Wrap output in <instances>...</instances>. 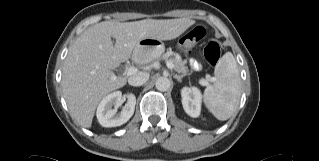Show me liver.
<instances>
[{
    "label": "liver",
    "mask_w": 319,
    "mask_h": 161,
    "mask_svg": "<svg viewBox=\"0 0 319 161\" xmlns=\"http://www.w3.org/2000/svg\"><path fill=\"white\" fill-rule=\"evenodd\" d=\"M194 23L187 18L104 21L85 30L70 46L63 67L62 90L72 117L90 128L101 99L126 84L112 70L132 56L136 45L144 38L175 39Z\"/></svg>",
    "instance_id": "6515ba94"
}]
</instances>
